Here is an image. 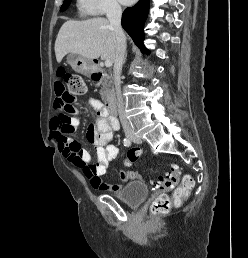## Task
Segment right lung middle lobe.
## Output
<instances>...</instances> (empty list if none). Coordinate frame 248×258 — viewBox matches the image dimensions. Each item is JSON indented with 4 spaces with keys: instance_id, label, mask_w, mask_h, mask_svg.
<instances>
[{
    "instance_id": "1",
    "label": "right lung middle lobe",
    "mask_w": 248,
    "mask_h": 258,
    "mask_svg": "<svg viewBox=\"0 0 248 258\" xmlns=\"http://www.w3.org/2000/svg\"><path fill=\"white\" fill-rule=\"evenodd\" d=\"M71 0H64L63 5L61 6L60 11H64L70 4Z\"/></svg>"
}]
</instances>
